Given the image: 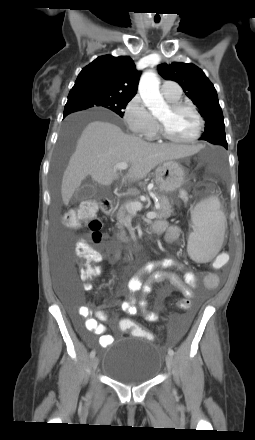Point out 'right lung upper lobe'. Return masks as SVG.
<instances>
[{
	"instance_id": "cb5924a9",
	"label": "right lung upper lobe",
	"mask_w": 255,
	"mask_h": 440,
	"mask_svg": "<svg viewBox=\"0 0 255 440\" xmlns=\"http://www.w3.org/2000/svg\"><path fill=\"white\" fill-rule=\"evenodd\" d=\"M139 77L130 57L104 55L82 69L70 93L98 91L133 98Z\"/></svg>"
}]
</instances>
